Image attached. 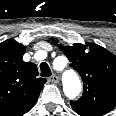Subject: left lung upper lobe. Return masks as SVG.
Listing matches in <instances>:
<instances>
[{"mask_svg":"<svg viewBox=\"0 0 116 116\" xmlns=\"http://www.w3.org/2000/svg\"><path fill=\"white\" fill-rule=\"evenodd\" d=\"M59 48L67 56L70 66L79 72L84 83L82 97L70 101L73 110L108 113L116 107V56L97 44L76 43Z\"/></svg>","mask_w":116,"mask_h":116,"instance_id":"1","label":"left lung upper lobe"}]
</instances>
